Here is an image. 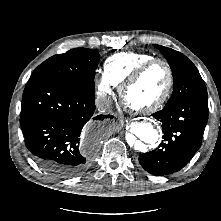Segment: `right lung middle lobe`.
Segmentation results:
<instances>
[{"instance_id":"dd1d6c3e","label":"right lung middle lobe","mask_w":221,"mask_h":221,"mask_svg":"<svg viewBox=\"0 0 221 221\" xmlns=\"http://www.w3.org/2000/svg\"><path fill=\"white\" fill-rule=\"evenodd\" d=\"M99 58L96 50L71 49L44 61L33 71L29 80L46 76L79 91L95 94L94 76Z\"/></svg>"}]
</instances>
